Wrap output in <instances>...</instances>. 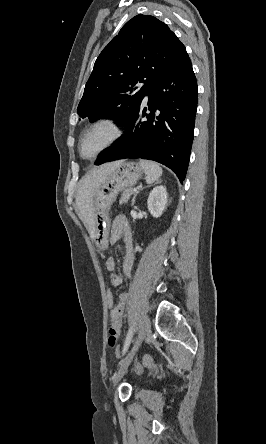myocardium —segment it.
<instances>
[{"instance_id": "obj_1", "label": "myocardium", "mask_w": 266, "mask_h": 444, "mask_svg": "<svg viewBox=\"0 0 266 444\" xmlns=\"http://www.w3.org/2000/svg\"><path fill=\"white\" fill-rule=\"evenodd\" d=\"M98 128H107L109 130V138L105 144L99 148L91 157L97 156L115 145L124 133V128L120 120L112 116H103L90 123L81 133L78 140V151L81 156H87L83 152V142L85 137Z\"/></svg>"}]
</instances>
